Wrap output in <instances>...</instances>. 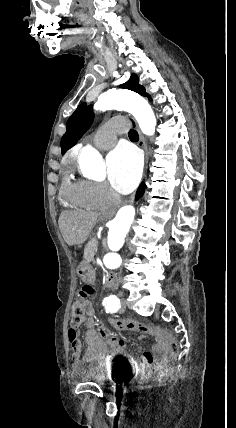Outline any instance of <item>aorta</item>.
I'll use <instances>...</instances> for the list:
<instances>
[{
	"label": "aorta",
	"mask_w": 236,
	"mask_h": 428,
	"mask_svg": "<svg viewBox=\"0 0 236 428\" xmlns=\"http://www.w3.org/2000/svg\"><path fill=\"white\" fill-rule=\"evenodd\" d=\"M97 111L111 109L124 110L131 113L137 120L145 135H153L156 127V117L149 103L141 96L128 90H110L101 94L94 105ZM80 166L95 178L103 174V160L100 153L91 146L85 147L80 155ZM135 209L133 206L120 208L115 218L109 223L107 243L109 251L103 258L104 265L109 269L119 268L122 258L118 251L122 248L125 237L133 223Z\"/></svg>",
	"instance_id": "obj_1"
}]
</instances>
